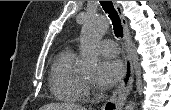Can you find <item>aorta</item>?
<instances>
[{"label":"aorta","instance_id":"1","mask_svg":"<svg viewBox=\"0 0 171 110\" xmlns=\"http://www.w3.org/2000/svg\"><path fill=\"white\" fill-rule=\"evenodd\" d=\"M108 21L100 15H92L87 18L82 28L80 47V70L86 74L96 72L98 65V53L95 45L108 29ZM136 104L130 101L125 110H135Z\"/></svg>","mask_w":171,"mask_h":110}]
</instances>
